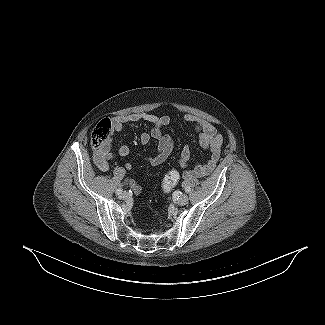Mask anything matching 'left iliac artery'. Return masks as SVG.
Wrapping results in <instances>:
<instances>
[{
	"label": "left iliac artery",
	"mask_w": 325,
	"mask_h": 325,
	"mask_svg": "<svg viewBox=\"0 0 325 325\" xmlns=\"http://www.w3.org/2000/svg\"><path fill=\"white\" fill-rule=\"evenodd\" d=\"M185 191H186V192H189V191H190V189H189V188H186V189H185Z\"/></svg>",
	"instance_id": "44dca946"
}]
</instances>
